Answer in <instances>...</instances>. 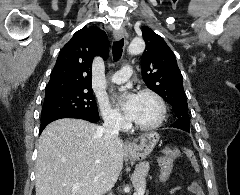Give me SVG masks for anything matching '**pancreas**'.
I'll return each instance as SVG.
<instances>
[{"label": "pancreas", "instance_id": "pancreas-1", "mask_svg": "<svg viewBox=\"0 0 240 195\" xmlns=\"http://www.w3.org/2000/svg\"><path fill=\"white\" fill-rule=\"evenodd\" d=\"M150 167V161H140V163H137L134 171V175H131V181L136 189V191H139V189H145V183H146V175H148Z\"/></svg>", "mask_w": 240, "mask_h": 195}]
</instances>
